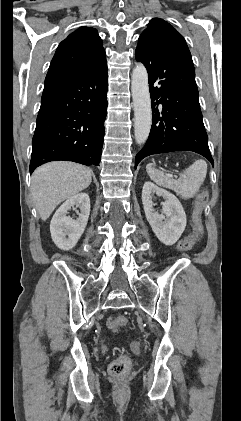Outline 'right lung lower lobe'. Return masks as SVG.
<instances>
[{"instance_id":"1","label":"right lung lower lobe","mask_w":241,"mask_h":421,"mask_svg":"<svg viewBox=\"0 0 241 421\" xmlns=\"http://www.w3.org/2000/svg\"><path fill=\"white\" fill-rule=\"evenodd\" d=\"M107 114V63L45 83L32 139L30 173L66 160L99 165Z\"/></svg>"}]
</instances>
